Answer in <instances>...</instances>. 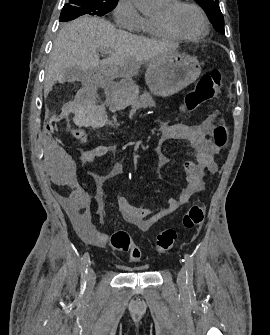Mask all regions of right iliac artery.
<instances>
[{"instance_id":"1","label":"right iliac artery","mask_w":270,"mask_h":335,"mask_svg":"<svg viewBox=\"0 0 270 335\" xmlns=\"http://www.w3.org/2000/svg\"><path fill=\"white\" fill-rule=\"evenodd\" d=\"M90 257L88 253H85L81 258V290L84 291L86 288V281H87V273H88V263Z\"/></svg>"}]
</instances>
